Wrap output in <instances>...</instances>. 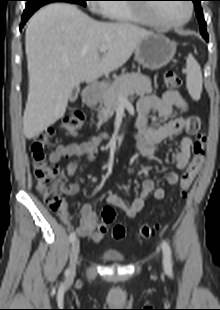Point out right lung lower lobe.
<instances>
[{
    "label": "right lung lower lobe",
    "mask_w": 220,
    "mask_h": 310,
    "mask_svg": "<svg viewBox=\"0 0 220 310\" xmlns=\"http://www.w3.org/2000/svg\"><path fill=\"white\" fill-rule=\"evenodd\" d=\"M39 8L40 7H37V8H26L24 10V13H23V16H22L21 25H20V30L22 29V27L24 26L26 21L30 18V16Z\"/></svg>",
    "instance_id": "right-lung-lower-lobe-1"
}]
</instances>
